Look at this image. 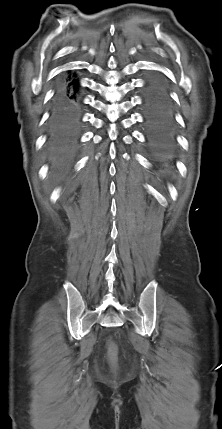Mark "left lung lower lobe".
<instances>
[{"label":"left lung lower lobe","mask_w":222,"mask_h":429,"mask_svg":"<svg viewBox=\"0 0 222 429\" xmlns=\"http://www.w3.org/2000/svg\"><path fill=\"white\" fill-rule=\"evenodd\" d=\"M142 107L149 146L157 153L166 152L174 142L176 127L170 90L160 76L148 78Z\"/></svg>","instance_id":"left-lung-lower-lobe-1"}]
</instances>
